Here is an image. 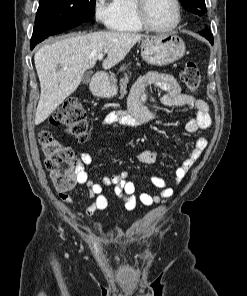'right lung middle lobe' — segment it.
<instances>
[{"label":"right lung middle lobe","mask_w":247,"mask_h":296,"mask_svg":"<svg viewBox=\"0 0 247 296\" xmlns=\"http://www.w3.org/2000/svg\"><path fill=\"white\" fill-rule=\"evenodd\" d=\"M31 42H41L89 20L96 0H39Z\"/></svg>","instance_id":"1"}]
</instances>
